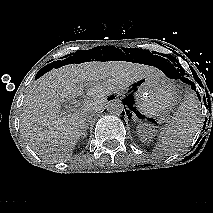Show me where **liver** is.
I'll return each mask as SVG.
<instances>
[{"mask_svg": "<svg viewBox=\"0 0 213 213\" xmlns=\"http://www.w3.org/2000/svg\"><path fill=\"white\" fill-rule=\"evenodd\" d=\"M150 75L159 72L127 61H90L54 68L39 77L25 96L21 133L42 159L67 161L84 131L86 114L102 110L110 94ZM84 87L91 99L80 107L61 111V105L81 96Z\"/></svg>", "mask_w": 213, "mask_h": 213, "instance_id": "1", "label": "liver"}]
</instances>
